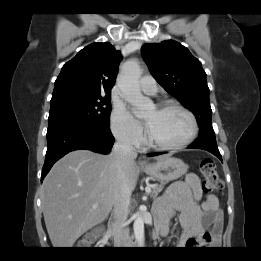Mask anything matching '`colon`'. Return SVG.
<instances>
[{
    "instance_id": "colon-1",
    "label": "colon",
    "mask_w": 261,
    "mask_h": 261,
    "mask_svg": "<svg viewBox=\"0 0 261 261\" xmlns=\"http://www.w3.org/2000/svg\"><path fill=\"white\" fill-rule=\"evenodd\" d=\"M202 174V189L204 192H219L223 190V182L219 178L215 163L210 158H204L200 164ZM207 242L205 238L192 239L188 245H203Z\"/></svg>"
}]
</instances>
